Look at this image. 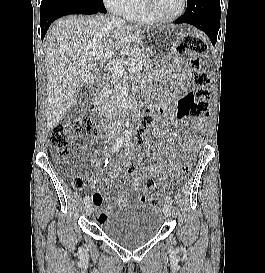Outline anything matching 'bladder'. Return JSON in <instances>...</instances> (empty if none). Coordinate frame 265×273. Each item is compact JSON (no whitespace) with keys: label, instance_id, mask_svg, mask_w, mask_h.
Listing matches in <instances>:
<instances>
[{"label":"bladder","instance_id":"obj_1","mask_svg":"<svg viewBox=\"0 0 265 273\" xmlns=\"http://www.w3.org/2000/svg\"><path fill=\"white\" fill-rule=\"evenodd\" d=\"M162 223L163 216L157 207L137 203L115 211L99 225L110 240L127 248H136L154 239Z\"/></svg>","mask_w":265,"mask_h":273}]
</instances>
